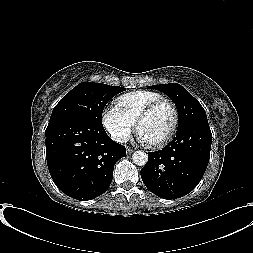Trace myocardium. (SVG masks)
<instances>
[{"label": "myocardium", "mask_w": 253, "mask_h": 253, "mask_svg": "<svg viewBox=\"0 0 253 253\" xmlns=\"http://www.w3.org/2000/svg\"><path fill=\"white\" fill-rule=\"evenodd\" d=\"M163 104H167L170 106V108L172 109L173 112V124L172 127L170 129V131L168 132V134L161 139L160 141L156 142V143H151L150 145L154 148H161L164 147L165 145H167L175 136L177 130H178V126H179V121H180V117H179V111L177 109V106L175 105V103L173 101H171L170 99L167 98H161L158 100H155L153 102H151L150 104H148L138 115L137 119H136V130L139 131V127L141 125V123L159 106L163 105Z\"/></svg>", "instance_id": "1"}]
</instances>
